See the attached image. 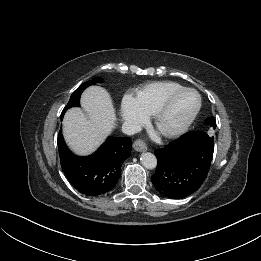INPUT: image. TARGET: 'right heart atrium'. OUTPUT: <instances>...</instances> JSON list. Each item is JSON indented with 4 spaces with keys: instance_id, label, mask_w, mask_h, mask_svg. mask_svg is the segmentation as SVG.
Segmentation results:
<instances>
[{
    "instance_id": "d8ad5b80",
    "label": "right heart atrium",
    "mask_w": 261,
    "mask_h": 261,
    "mask_svg": "<svg viewBox=\"0 0 261 261\" xmlns=\"http://www.w3.org/2000/svg\"><path fill=\"white\" fill-rule=\"evenodd\" d=\"M121 114L131 129H136L147 121V116L140 110L135 98L131 95L124 96L121 103Z\"/></svg>"
}]
</instances>
